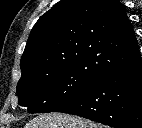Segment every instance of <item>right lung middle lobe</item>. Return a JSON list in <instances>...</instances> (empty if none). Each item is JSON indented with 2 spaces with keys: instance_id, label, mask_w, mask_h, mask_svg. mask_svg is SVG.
<instances>
[{
  "instance_id": "right-lung-middle-lobe-1",
  "label": "right lung middle lobe",
  "mask_w": 142,
  "mask_h": 128,
  "mask_svg": "<svg viewBox=\"0 0 142 128\" xmlns=\"http://www.w3.org/2000/svg\"><path fill=\"white\" fill-rule=\"evenodd\" d=\"M97 80L87 68L80 65L32 74L18 82L19 105L27 107L29 113L54 112Z\"/></svg>"
}]
</instances>
